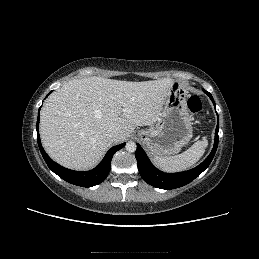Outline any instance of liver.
<instances>
[{"instance_id":"liver-1","label":"liver","mask_w":259,"mask_h":259,"mask_svg":"<svg viewBox=\"0 0 259 259\" xmlns=\"http://www.w3.org/2000/svg\"><path fill=\"white\" fill-rule=\"evenodd\" d=\"M173 80L129 82L101 77L75 79L53 92L41 110L45 151L74 170L95 167L107 149L126 140L136 126L158 122ZM117 129L111 142L106 134Z\"/></svg>"}]
</instances>
